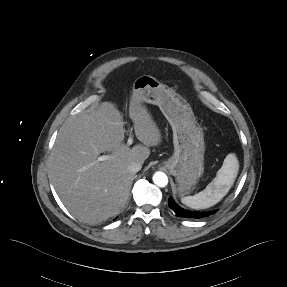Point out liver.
<instances>
[{"mask_svg":"<svg viewBox=\"0 0 287 287\" xmlns=\"http://www.w3.org/2000/svg\"><path fill=\"white\" fill-rule=\"evenodd\" d=\"M129 117L137 139L128 147L120 111L110 102L68 119L60 128L50 157V178L66 208L85 223L97 224L119 214L134 180L128 166L149 157L161 133L148 109L131 97ZM103 152L111 158L98 161Z\"/></svg>","mask_w":287,"mask_h":287,"instance_id":"liver-1","label":"liver"}]
</instances>
